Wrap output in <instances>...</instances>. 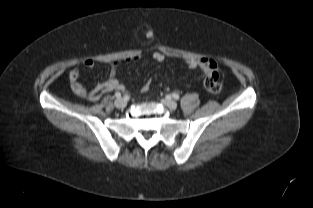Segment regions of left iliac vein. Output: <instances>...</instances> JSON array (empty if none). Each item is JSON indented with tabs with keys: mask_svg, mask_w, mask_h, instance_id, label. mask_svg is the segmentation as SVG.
I'll list each match as a JSON object with an SVG mask.
<instances>
[{
	"mask_svg": "<svg viewBox=\"0 0 313 208\" xmlns=\"http://www.w3.org/2000/svg\"><path fill=\"white\" fill-rule=\"evenodd\" d=\"M162 104L171 110H175L177 108V103L171 99H163Z\"/></svg>",
	"mask_w": 313,
	"mask_h": 208,
	"instance_id": "obj_1",
	"label": "left iliac vein"
}]
</instances>
